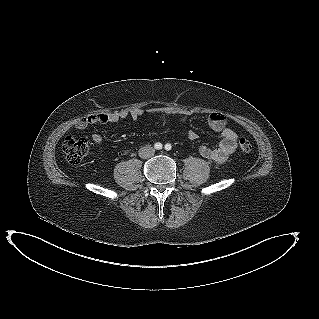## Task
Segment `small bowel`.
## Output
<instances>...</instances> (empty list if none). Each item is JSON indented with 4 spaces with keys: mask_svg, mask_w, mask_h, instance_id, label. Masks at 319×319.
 Instances as JSON below:
<instances>
[{
    "mask_svg": "<svg viewBox=\"0 0 319 319\" xmlns=\"http://www.w3.org/2000/svg\"><path fill=\"white\" fill-rule=\"evenodd\" d=\"M144 114L175 115L179 117L181 122H184L186 118L190 116V112L187 110L169 106L151 107L147 109L135 108L132 110L122 109L89 115L79 121L76 124V128L78 130H85L93 124L116 123L127 118L137 120ZM206 120L209 128L219 134V141L217 146L214 148L207 145L199 146V152L204 158L212 161L213 163L222 164L235 152L237 148L238 135L235 131L226 127V118L221 112L215 111L209 113ZM187 136L191 141H196L198 139V134L192 130L187 133ZM91 138L96 146H101L103 141L101 134L93 133ZM130 153L131 151L129 149L123 151L124 155H129Z\"/></svg>",
    "mask_w": 319,
    "mask_h": 319,
    "instance_id": "obj_1",
    "label": "small bowel"
}]
</instances>
